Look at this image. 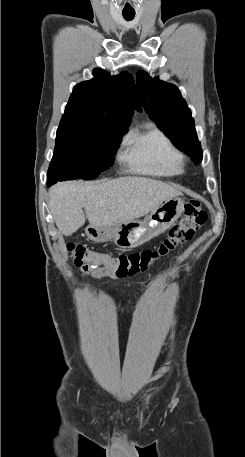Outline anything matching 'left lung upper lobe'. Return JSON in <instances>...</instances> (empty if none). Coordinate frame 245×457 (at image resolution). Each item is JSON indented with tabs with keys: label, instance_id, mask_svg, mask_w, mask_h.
Here are the masks:
<instances>
[{
	"label": "left lung upper lobe",
	"instance_id": "1",
	"mask_svg": "<svg viewBox=\"0 0 245 457\" xmlns=\"http://www.w3.org/2000/svg\"><path fill=\"white\" fill-rule=\"evenodd\" d=\"M136 83L146 113L178 149L199 164L203 154L194 120L178 88L158 78L152 79L145 71L137 72Z\"/></svg>",
	"mask_w": 245,
	"mask_h": 457
}]
</instances>
